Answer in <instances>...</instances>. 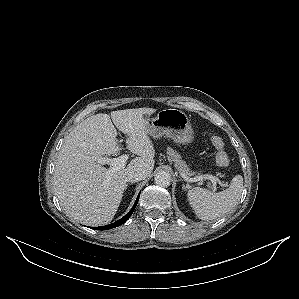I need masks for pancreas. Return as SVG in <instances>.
<instances>
[{
	"mask_svg": "<svg viewBox=\"0 0 299 299\" xmlns=\"http://www.w3.org/2000/svg\"><path fill=\"white\" fill-rule=\"evenodd\" d=\"M167 155H168L169 161L174 162L175 167L177 168V170L180 173H183L187 176L194 175V172H192L190 170V168L188 167L186 162L184 160H182V157L180 156V154H178L175 150H173L172 148L169 147L167 149Z\"/></svg>",
	"mask_w": 299,
	"mask_h": 299,
	"instance_id": "pancreas-1",
	"label": "pancreas"
}]
</instances>
